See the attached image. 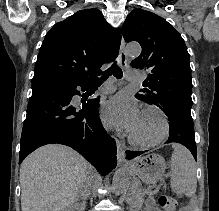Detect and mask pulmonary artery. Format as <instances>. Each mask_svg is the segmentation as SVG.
<instances>
[{
    "mask_svg": "<svg viewBox=\"0 0 219 211\" xmlns=\"http://www.w3.org/2000/svg\"><path fill=\"white\" fill-rule=\"evenodd\" d=\"M128 74H139V69H128ZM130 81L140 80V75H128L127 77ZM115 90V86L111 83H105L99 87L97 93L100 95H106Z\"/></svg>",
    "mask_w": 219,
    "mask_h": 211,
    "instance_id": "pulmonary-artery-1",
    "label": "pulmonary artery"
}]
</instances>
